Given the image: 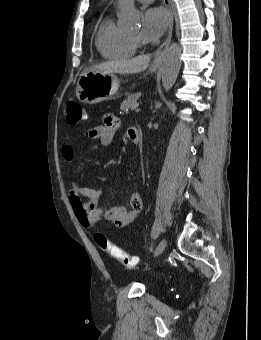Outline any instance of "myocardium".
Returning <instances> with one entry per match:
<instances>
[{
  "mask_svg": "<svg viewBox=\"0 0 261 340\" xmlns=\"http://www.w3.org/2000/svg\"><path fill=\"white\" fill-rule=\"evenodd\" d=\"M130 38H131L132 42L135 44L136 47L142 46V42H141L139 37H134V36L130 35Z\"/></svg>",
  "mask_w": 261,
  "mask_h": 340,
  "instance_id": "f54148a6",
  "label": "myocardium"
}]
</instances>
